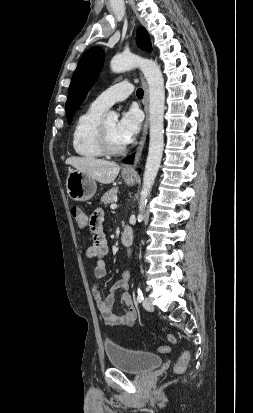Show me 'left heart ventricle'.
<instances>
[{"instance_id": "obj_1", "label": "left heart ventricle", "mask_w": 253, "mask_h": 413, "mask_svg": "<svg viewBox=\"0 0 253 413\" xmlns=\"http://www.w3.org/2000/svg\"><path fill=\"white\" fill-rule=\"evenodd\" d=\"M116 120L108 119L104 121V128L107 133L108 139L112 146L114 147H121L123 144L118 140L116 136Z\"/></svg>"}]
</instances>
